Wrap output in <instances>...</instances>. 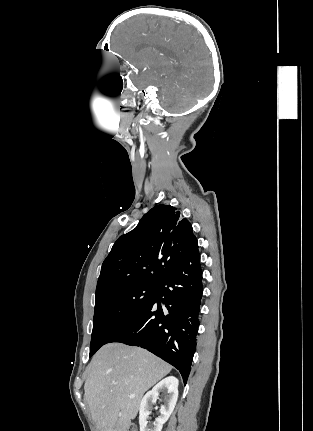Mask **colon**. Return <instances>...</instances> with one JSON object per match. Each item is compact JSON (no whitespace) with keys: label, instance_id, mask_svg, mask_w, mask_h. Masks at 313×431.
Listing matches in <instances>:
<instances>
[{"label":"colon","instance_id":"5ec220e1","mask_svg":"<svg viewBox=\"0 0 313 431\" xmlns=\"http://www.w3.org/2000/svg\"><path fill=\"white\" fill-rule=\"evenodd\" d=\"M128 431H137V429L134 425H132L129 427Z\"/></svg>","mask_w":313,"mask_h":431}]
</instances>
